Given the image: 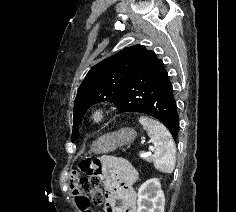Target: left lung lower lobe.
Returning <instances> with one entry per match:
<instances>
[{"label": "left lung lower lobe", "mask_w": 236, "mask_h": 212, "mask_svg": "<svg viewBox=\"0 0 236 212\" xmlns=\"http://www.w3.org/2000/svg\"><path fill=\"white\" fill-rule=\"evenodd\" d=\"M118 113L138 112L161 121L178 137L179 116L174 91L162 60L147 50L133 79L114 103Z\"/></svg>", "instance_id": "0a47b994"}]
</instances>
